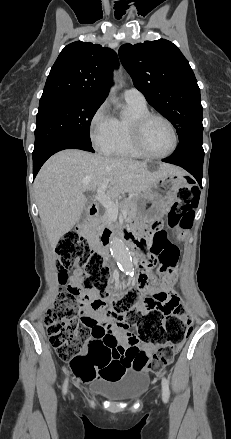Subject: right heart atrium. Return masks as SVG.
I'll list each match as a JSON object with an SVG mask.
<instances>
[{
	"mask_svg": "<svg viewBox=\"0 0 231 439\" xmlns=\"http://www.w3.org/2000/svg\"><path fill=\"white\" fill-rule=\"evenodd\" d=\"M113 118L106 103H102L92 114L89 122V136L94 147L102 149L112 139Z\"/></svg>",
	"mask_w": 231,
	"mask_h": 439,
	"instance_id": "right-heart-atrium-1",
	"label": "right heart atrium"
}]
</instances>
